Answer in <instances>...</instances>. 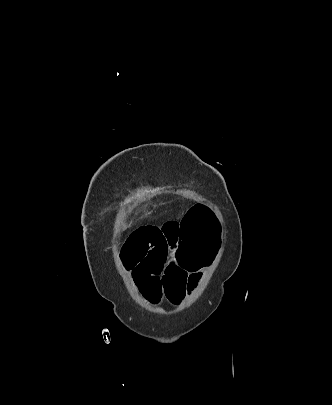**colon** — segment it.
Segmentation results:
<instances>
[{
    "label": "colon",
    "mask_w": 332,
    "mask_h": 405,
    "mask_svg": "<svg viewBox=\"0 0 332 405\" xmlns=\"http://www.w3.org/2000/svg\"><path fill=\"white\" fill-rule=\"evenodd\" d=\"M213 218L214 213L206 211L205 202H196L191 211H187V220H178L176 261L188 268L189 275H197L198 268H214L216 249L220 248V229Z\"/></svg>",
    "instance_id": "1"
}]
</instances>
